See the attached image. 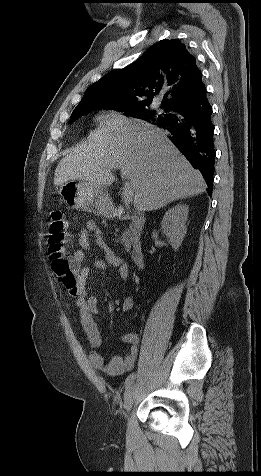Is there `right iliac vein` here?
<instances>
[{
  "label": "right iliac vein",
  "mask_w": 261,
  "mask_h": 476,
  "mask_svg": "<svg viewBox=\"0 0 261 476\" xmlns=\"http://www.w3.org/2000/svg\"><path fill=\"white\" fill-rule=\"evenodd\" d=\"M134 394H135V386L130 385L126 389V392H125V395H124V408H125L126 412H128L131 409L132 405H133Z\"/></svg>",
  "instance_id": "1"
}]
</instances>
